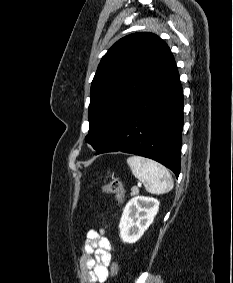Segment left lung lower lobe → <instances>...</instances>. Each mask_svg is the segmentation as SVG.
I'll return each instance as SVG.
<instances>
[{
	"instance_id": "1",
	"label": "left lung lower lobe",
	"mask_w": 233,
	"mask_h": 283,
	"mask_svg": "<svg viewBox=\"0 0 233 283\" xmlns=\"http://www.w3.org/2000/svg\"><path fill=\"white\" fill-rule=\"evenodd\" d=\"M183 90L173 56L155 70L120 126L97 154L122 151L180 173Z\"/></svg>"
}]
</instances>
